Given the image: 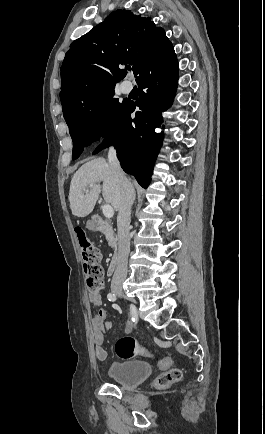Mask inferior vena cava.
I'll return each mask as SVG.
<instances>
[{
	"label": "inferior vena cava",
	"instance_id": "602c4592",
	"mask_svg": "<svg viewBox=\"0 0 265 434\" xmlns=\"http://www.w3.org/2000/svg\"><path fill=\"white\" fill-rule=\"evenodd\" d=\"M108 162L115 170L117 180L120 184L121 190V204L119 208V214L117 218L118 226V256L117 266L112 278V284H118V282H124L127 278V266L128 256L130 252V222H131V206L135 200V190L133 184L128 182L124 172L120 168L118 158L116 156V150L110 148L108 152Z\"/></svg>",
	"mask_w": 265,
	"mask_h": 434
}]
</instances>
